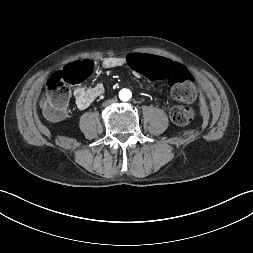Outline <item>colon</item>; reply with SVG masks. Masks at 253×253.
<instances>
[{
	"label": "colon",
	"mask_w": 253,
	"mask_h": 253,
	"mask_svg": "<svg viewBox=\"0 0 253 253\" xmlns=\"http://www.w3.org/2000/svg\"><path fill=\"white\" fill-rule=\"evenodd\" d=\"M126 66L134 74L167 80L172 96L177 101L190 103L196 98L192 77L173 59L134 53L128 57ZM90 72L91 63L81 62L67 66L51 77L42 99V108L47 118L59 120L65 116L70 88L83 82ZM170 117L175 124L185 126L192 121L194 111L187 106L177 105L170 110Z\"/></svg>",
	"instance_id": "colon-1"
}]
</instances>
